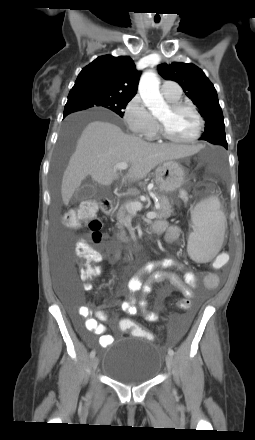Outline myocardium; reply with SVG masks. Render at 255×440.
Returning <instances> with one entry per match:
<instances>
[{"mask_svg":"<svg viewBox=\"0 0 255 440\" xmlns=\"http://www.w3.org/2000/svg\"><path fill=\"white\" fill-rule=\"evenodd\" d=\"M169 108L173 112H176V111H179L182 109H188V110L192 111L197 118L198 127H197L195 134L192 137H190L188 139H177L169 133L165 124L163 122L159 121V127H160L162 137L169 142L177 143V144H189V143H193V142L197 141L200 138V136L203 132V129H204V119H203L202 115L199 113V111L192 104L181 102V101L170 104Z\"/></svg>","mask_w":255,"mask_h":440,"instance_id":"f54148a6","label":"myocardium"}]
</instances>
